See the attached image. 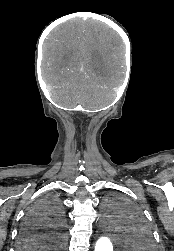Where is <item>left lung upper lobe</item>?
Returning a JSON list of instances; mask_svg holds the SVG:
<instances>
[{"mask_svg": "<svg viewBox=\"0 0 174 251\" xmlns=\"http://www.w3.org/2000/svg\"><path fill=\"white\" fill-rule=\"evenodd\" d=\"M107 208L112 213L111 216H120L125 221L130 234L129 243L136 251L154 250V241L150 229L132 205L122 197L116 196L107 200Z\"/></svg>", "mask_w": 174, "mask_h": 251, "instance_id": "1", "label": "left lung upper lobe"}]
</instances>
